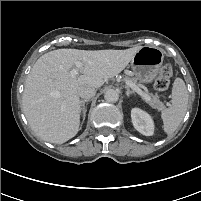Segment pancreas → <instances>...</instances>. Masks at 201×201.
<instances>
[{"mask_svg": "<svg viewBox=\"0 0 201 201\" xmlns=\"http://www.w3.org/2000/svg\"><path fill=\"white\" fill-rule=\"evenodd\" d=\"M125 81H129L133 86L138 87L140 84L137 83L136 78H125ZM148 95V94H147ZM152 108L162 110L164 105L160 102L158 97L151 95L150 100L146 101Z\"/></svg>", "mask_w": 201, "mask_h": 201, "instance_id": "obj_1", "label": "pancreas"}]
</instances>
